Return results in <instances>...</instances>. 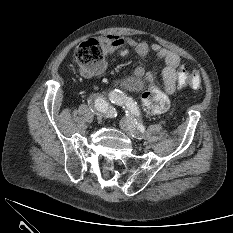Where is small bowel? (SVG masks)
Instances as JSON below:
<instances>
[{"instance_id": "c3829d8e", "label": "small bowel", "mask_w": 233, "mask_h": 233, "mask_svg": "<svg viewBox=\"0 0 233 233\" xmlns=\"http://www.w3.org/2000/svg\"><path fill=\"white\" fill-rule=\"evenodd\" d=\"M104 51L106 56L111 55L114 52H119L122 56L126 55L130 49H134L139 55L141 60H144L149 52H153L158 62L164 63L163 68V81L165 86V92L171 95L175 92L177 86L178 71L181 69L179 56L171 50H168L159 44H153L149 46L146 42L136 40L130 37H122L117 35H108L103 38ZM103 70V67L90 72L85 73L87 77L95 76ZM144 75V67L140 65L135 73L134 77L139 78Z\"/></svg>"}]
</instances>
